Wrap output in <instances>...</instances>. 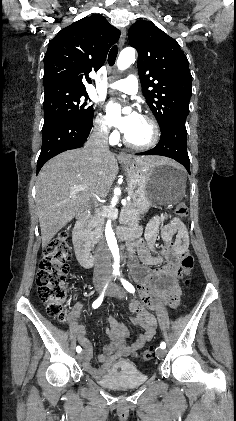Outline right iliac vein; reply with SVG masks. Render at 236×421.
<instances>
[{
  "label": "right iliac vein",
  "instance_id": "right-iliac-vein-1",
  "mask_svg": "<svg viewBox=\"0 0 236 421\" xmlns=\"http://www.w3.org/2000/svg\"><path fill=\"white\" fill-rule=\"evenodd\" d=\"M104 282H105V279H100V280L97 282L96 287H97V289L99 290V292H101V291H102V287H103V285H104ZM84 357H85V351H82L81 353H79V354L77 355V360H78L79 362H81V361L84 359Z\"/></svg>",
  "mask_w": 236,
  "mask_h": 421
}]
</instances>
